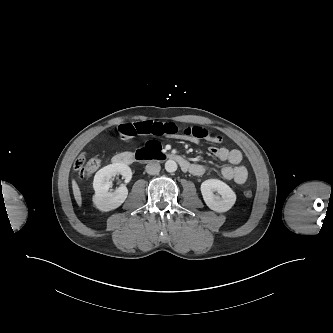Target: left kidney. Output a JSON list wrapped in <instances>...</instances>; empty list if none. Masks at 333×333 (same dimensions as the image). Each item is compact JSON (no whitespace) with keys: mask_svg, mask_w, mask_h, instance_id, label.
Instances as JSON below:
<instances>
[{"mask_svg":"<svg viewBox=\"0 0 333 333\" xmlns=\"http://www.w3.org/2000/svg\"><path fill=\"white\" fill-rule=\"evenodd\" d=\"M217 192L218 195H215ZM201 193L206 205L213 211L222 213L230 210L236 201L235 192L223 181L208 179L201 184Z\"/></svg>","mask_w":333,"mask_h":333,"instance_id":"5707ae66","label":"left kidney"}]
</instances>
